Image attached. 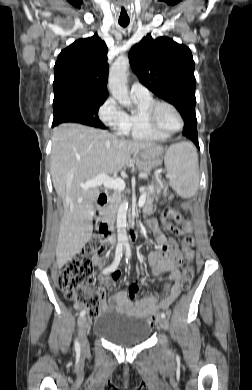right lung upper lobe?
Here are the masks:
<instances>
[{"label":"right lung upper lobe","instance_id":"right-lung-upper-lobe-1","mask_svg":"<svg viewBox=\"0 0 252 390\" xmlns=\"http://www.w3.org/2000/svg\"><path fill=\"white\" fill-rule=\"evenodd\" d=\"M108 48L97 34L62 50L54 66V100H100L108 96Z\"/></svg>","mask_w":252,"mask_h":390}]
</instances>
